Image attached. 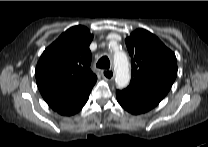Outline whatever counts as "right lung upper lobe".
<instances>
[{
  "instance_id": "cb5924a9",
  "label": "right lung upper lobe",
  "mask_w": 208,
  "mask_h": 147,
  "mask_svg": "<svg viewBox=\"0 0 208 147\" xmlns=\"http://www.w3.org/2000/svg\"><path fill=\"white\" fill-rule=\"evenodd\" d=\"M92 39L86 27L74 26L41 55L36 81L42 97L54 111L78 104L89 96L96 83L97 77L90 70Z\"/></svg>"
}]
</instances>
